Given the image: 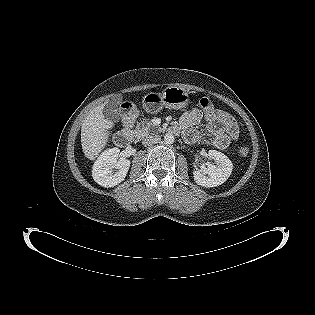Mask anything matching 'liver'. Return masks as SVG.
Listing matches in <instances>:
<instances>
[{
  "mask_svg": "<svg viewBox=\"0 0 315 315\" xmlns=\"http://www.w3.org/2000/svg\"><path fill=\"white\" fill-rule=\"evenodd\" d=\"M119 103V102H117ZM105 103L92 109L81 126V145L84 155L95 160L106 146L114 123L103 115Z\"/></svg>",
  "mask_w": 315,
  "mask_h": 315,
  "instance_id": "obj_1",
  "label": "liver"
}]
</instances>
